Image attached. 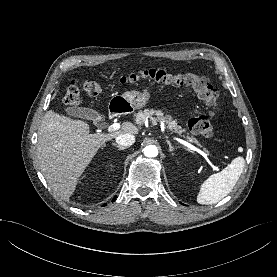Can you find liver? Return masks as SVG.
I'll use <instances>...</instances> for the list:
<instances>
[{
    "label": "liver",
    "instance_id": "obj_1",
    "mask_svg": "<svg viewBox=\"0 0 277 277\" xmlns=\"http://www.w3.org/2000/svg\"><path fill=\"white\" fill-rule=\"evenodd\" d=\"M126 133L138 134V128L125 122L119 130L90 134L86 122L47 111L38 131V160L50 188L69 199L98 150Z\"/></svg>",
    "mask_w": 277,
    "mask_h": 277
}]
</instances>
